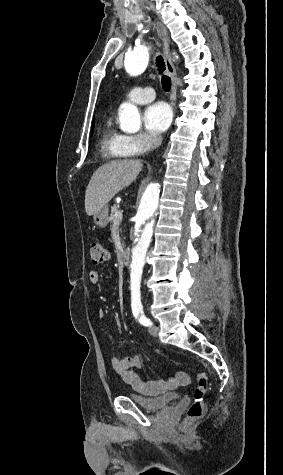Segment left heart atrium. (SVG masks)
<instances>
[{"instance_id": "left-heart-atrium-1", "label": "left heart atrium", "mask_w": 283, "mask_h": 475, "mask_svg": "<svg viewBox=\"0 0 283 475\" xmlns=\"http://www.w3.org/2000/svg\"><path fill=\"white\" fill-rule=\"evenodd\" d=\"M173 111L166 102H155L144 112L143 122L145 128L153 134L166 132L171 126Z\"/></svg>"}]
</instances>
